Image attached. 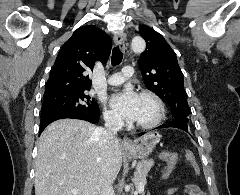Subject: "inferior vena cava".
<instances>
[{
    "instance_id": "obj_1",
    "label": "inferior vena cava",
    "mask_w": 240,
    "mask_h": 195,
    "mask_svg": "<svg viewBox=\"0 0 240 195\" xmlns=\"http://www.w3.org/2000/svg\"><path fill=\"white\" fill-rule=\"evenodd\" d=\"M105 127L102 129H96L95 133L99 137V145H107V143H118L117 131L121 129L123 125L122 119L114 115V113H104ZM99 195H115L114 189L111 183L104 181Z\"/></svg>"
}]
</instances>
